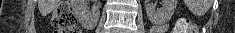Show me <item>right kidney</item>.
<instances>
[{
	"instance_id": "obj_1",
	"label": "right kidney",
	"mask_w": 235,
	"mask_h": 33,
	"mask_svg": "<svg viewBox=\"0 0 235 33\" xmlns=\"http://www.w3.org/2000/svg\"><path fill=\"white\" fill-rule=\"evenodd\" d=\"M72 6L77 16L83 21H92L96 23L98 21L100 11L99 9H93L91 12L86 9V0H73Z\"/></svg>"
}]
</instances>
